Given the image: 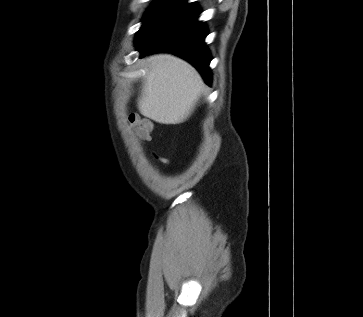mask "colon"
<instances>
[{
	"instance_id": "1",
	"label": "colon",
	"mask_w": 363,
	"mask_h": 317,
	"mask_svg": "<svg viewBox=\"0 0 363 317\" xmlns=\"http://www.w3.org/2000/svg\"><path fill=\"white\" fill-rule=\"evenodd\" d=\"M129 123L135 127L136 131L142 138H146L152 128V123L149 119L139 117L134 114L129 117Z\"/></svg>"
}]
</instances>
